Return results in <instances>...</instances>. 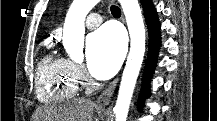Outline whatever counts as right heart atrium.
Here are the masks:
<instances>
[{"label":"right heart atrium","instance_id":"1","mask_svg":"<svg viewBox=\"0 0 217 121\" xmlns=\"http://www.w3.org/2000/svg\"><path fill=\"white\" fill-rule=\"evenodd\" d=\"M72 65H73L74 73H75L76 77L78 78V80H85L86 74H85L83 67L81 65L73 64V63H72Z\"/></svg>","mask_w":217,"mask_h":121}]
</instances>
